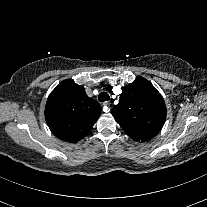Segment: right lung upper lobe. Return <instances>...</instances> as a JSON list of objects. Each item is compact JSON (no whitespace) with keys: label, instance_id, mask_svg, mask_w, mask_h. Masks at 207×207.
Here are the masks:
<instances>
[{"label":"right lung upper lobe","instance_id":"1","mask_svg":"<svg viewBox=\"0 0 207 207\" xmlns=\"http://www.w3.org/2000/svg\"><path fill=\"white\" fill-rule=\"evenodd\" d=\"M101 114L100 104L73 80L62 81L50 94L45 118L59 139L76 143L84 138Z\"/></svg>","mask_w":207,"mask_h":207}]
</instances>
